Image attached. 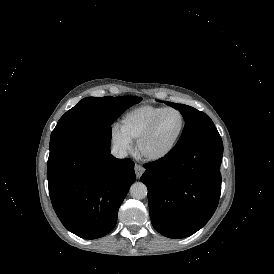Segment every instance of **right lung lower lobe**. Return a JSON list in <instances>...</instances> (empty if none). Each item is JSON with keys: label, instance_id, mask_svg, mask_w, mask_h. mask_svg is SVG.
<instances>
[{"label": "right lung lower lobe", "instance_id": "obj_1", "mask_svg": "<svg viewBox=\"0 0 274 274\" xmlns=\"http://www.w3.org/2000/svg\"><path fill=\"white\" fill-rule=\"evenodd\" d=\"M111 125L93 128L50 150L47 178L53 208L72 233L108 234L135 181L134 163L110 154Z\"/></svg>", "mask_w": 274, "mask_h": 274}]
</instances>
